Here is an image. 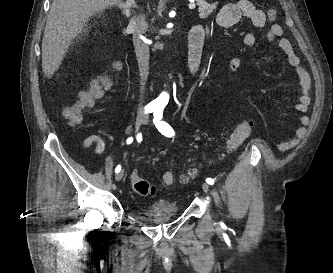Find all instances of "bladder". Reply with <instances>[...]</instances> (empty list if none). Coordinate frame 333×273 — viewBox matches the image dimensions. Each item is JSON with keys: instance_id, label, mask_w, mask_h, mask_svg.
I'll use <instances>...</instances> for the list:
<instances>
[{"instance_id": "obj_1", "label": "bladder", "mask_w": 333, "mask_h": 273, "mask_svg": "<svg viewBox=\"0 0 333 273\" xmlns=\"http://www.w3.org/2000/svg\"><path fill=\"white\" fill-rule=\"evenodd\" d=\"M179 210L172 202H156L145 209V214L137 215L139 219L154 224H163L177 217Z\"/></svg>"}]
</instances>
